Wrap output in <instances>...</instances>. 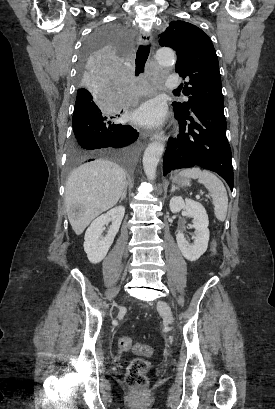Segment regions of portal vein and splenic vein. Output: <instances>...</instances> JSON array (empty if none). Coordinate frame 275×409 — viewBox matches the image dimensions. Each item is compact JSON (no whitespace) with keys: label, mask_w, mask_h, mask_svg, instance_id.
Wrapping results in <instances>:
<instances>
[{"label":"portal vein and splenic vein","mask_w":275,"mask_h":409,"mask_svg":"<svg viewBox=\"0 0 275 409\" xmlns=\"http://www.w3.org/2000/svg\"><path fill=\"white\" fill-rule=\"evenodd\" d=\"M197 198H200L199 194H197Z\"/></svg>","instance_id":"portal-vein-and-splenic-vein-1"}]
</instances>
